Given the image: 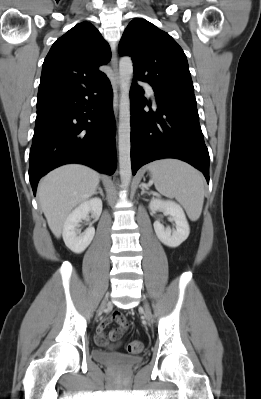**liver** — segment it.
<instances>
[{
	"mask_svg": "<svg viewBox=\"0 0 261 399\" xmlns=\"http://www.w3.org/2000/svg\"><path fill=\"white\" fill-rule=\"evenodd\" d=\"M99 181L97 171L78 164L59 167L41 179L38 185L40 205L56 238H60L71 210L95 194Z\"/></svg>",
	"mask_w": 261,
	"mask_h": 399,
	"instance_id": "obj_1",
	"label": "liver"
}]
</instances>
